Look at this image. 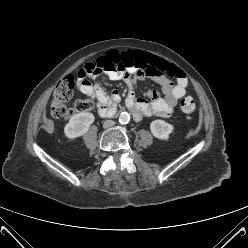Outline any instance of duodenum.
<instances>
[{"mask_svg":"<svg viewBox=\"0 0 248 248\" xmlns=\"http://www.w3.org/2000/svg\"><path fill=\"white\" fill-rule=\"evenodd\" d=\"M123 109H124V110H127V109H128L127 105H126L125 107H123ZM113 114H114V113H113Z\"/></svg>","mask_w":248,"mask_h":248,"instance_id":"1","label":"duodenum"}]
</instances>
